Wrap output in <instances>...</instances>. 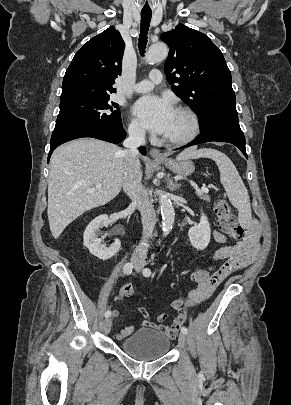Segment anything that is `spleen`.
<instances>
[{
    "mask_svg": "<svg viewBox=\"0 0 291 405\" xmlns=\"http://www.w3.org/2000/svg\"><path fill=\"white\" fill-rule=\"evenodd\" d=\"M210 158L214 160L220 171V182L223 185L230 203L239 211L241 222L251 219V206L248 191L239 176L233 162L224 153L203 148L197 150L192 147L184 150L177 156V160Z\"/></svg>",
    "mask_w": 291,
    "mask_h": 405,
    "instance_id": "1",
    "label": "spleen"
}]
</instances>
